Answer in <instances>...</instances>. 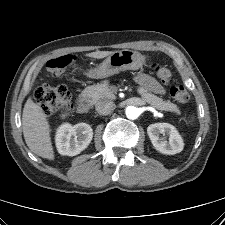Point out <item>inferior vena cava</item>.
<instances>
[{
    "label": "inferior vena cava",
    "instance_id": "1",
    "mask_svg": "<svg viewBox=\"0 0 225 225\" xmlns=\"http://www.w3.org/2000/svg\"><path fill=\"white\" fill-rule=\"evenodd\" d=\"M115 109V104L111 101H98L96 111L101 115H108Z\"/></svg>",
    "mask_w": 225,
    "mask_h": 225
}]
</instances>
